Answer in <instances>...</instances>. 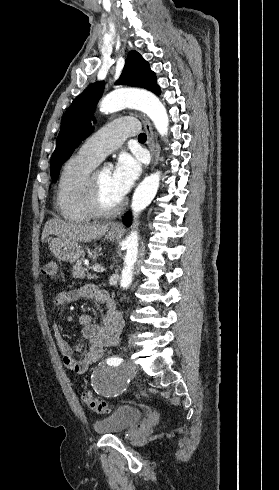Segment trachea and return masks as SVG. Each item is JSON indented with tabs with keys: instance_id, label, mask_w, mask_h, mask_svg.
<instances>
[{
	"instance_id": "3493384b",
	"label": "trachea",
	"mask_w": 279,
	"mask_h": 490,
	"mask_svg": "<svg viewBox=\"0 0 279 490\" xmlns=\"http://www.w3.org/2000/svg\"><path fill=\"white\" fill-rule=\"evenodd\" d=\"M138 140H139V142H145L146 141L145 133H140Z\"/></svg>"
}]
</instances>
